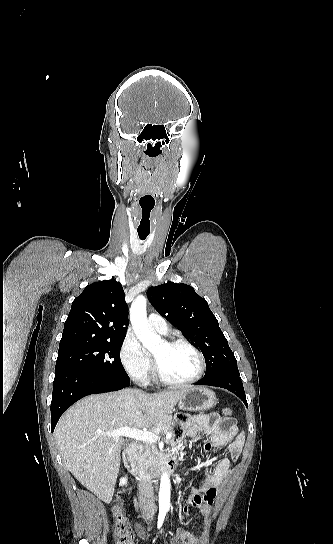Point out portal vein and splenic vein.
<instances>
[{
	"mask_svg": "<svg viewBox=\"0 0 333 544\" xmlns=\"http://www.w3.org/2000/svg\"><path fill=\"white\" fill-rule=\"evenodd\" d=\"M103 434L107 435V436H112V437H115V438L124 436V437L132 438V439H136V440H141V441H146V442H150V443H154L160 438L158 436V434H156V433H153V432H150V431H142L140 429H135V428H129L128 426H123L121 428H118L116 430L109 431V432H106V433H103ZM171 436H172V434L168 433L166 435V439H170Z\"/></svg>",
	"mask_w": 333,
	"mask_h": 544,
	"instance_id": "1",
	"label": "portal vein and splenic vein"
}]
</instances>
